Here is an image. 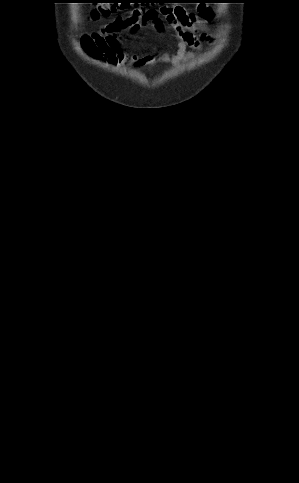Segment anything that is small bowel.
Returning <instances> with one entry per match:
<instances>
[{"label": "small bowel", "mask_w": 299, "mask_h": 483, "mask_svg": "<svg viewBox=\"0 0 299 483\" xmlns=\"http://www.w3.org/2000/svg\"><path fill=\"white\" fill-rule=\"evenodd\" d=\"M166 16L170 28L175 32L177 46L174 52L159 53L155 50L148 55L126 54L122 49V41L118 34L123 30L136 32L144 25H151L156 31L164 29L160 16ZM203 15L208 19L213 18V12L206 9ZM200 21L196 13L183 7L164 8H135L124 16H118L106 24L100 30L91 34L83 35L81 47L85 54L98 62H104L110 66H143L157 63H170L179 65L190 60L195 52L202 48V43L211 44L213 39L208 34L198 36ZM191 48V50H189Z\"/></svg>", "instance_id": "obj_1"}]
</instances>
